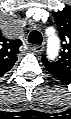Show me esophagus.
<instances>
[{"label":"esophagus","mask_w":71,"mask_h":119,"mask_svg":"<svg viewBox=\"0 0 71 119\" xmlns=\"http://www.w3.org/2000/svg\"><path fill=\"white\" fill-rule=\"evenodd\" d=\"M43 49H44V46L43 45H33L31 47V50L34 53H41L43 51Z\"/></svg>","instance_id":"34e87169"}]
</instances>
